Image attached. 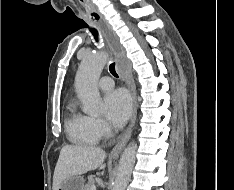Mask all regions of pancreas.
<instances>
[{"mask_svg": "<svg viewBox=\"0 0 234 190\" xmlns=\"http://www.w3.org/2000/svg\"><path fill=\"white\" fill-rule=\"evenodd\" d=\"M94 186V176L88 177V182L86 183L84 190H91V187Z\"/></svg>", "mask_w": 234, "mask_h": 190, "instance_id": "pancreas-1", "label": "pancreas"}]
</instances>
